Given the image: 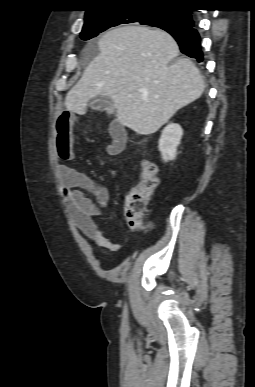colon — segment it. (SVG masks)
<instances>
[{"label": "colon", "mask_w": 255, "mask_h": 387, "mask_svg": "<svg viewBox=\"0 0 255 387\" xmlns=\"http://www.w3.org/2000/svg\"><path fill=\"white\" fill-rule=\"evenodd\" d=\"M157 186L155 164L148 159H142L140 180L129 190L125 198V214L133 230L140 232L151 227V224L145 221V211Z\"/></svg>", "instance_id": "colon-1"}]
</instances>
